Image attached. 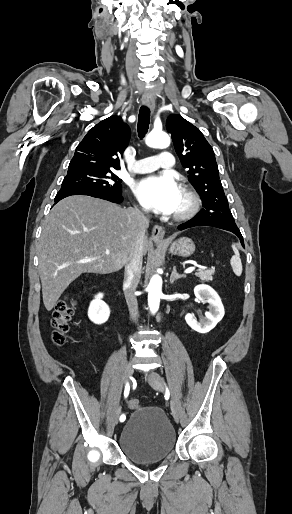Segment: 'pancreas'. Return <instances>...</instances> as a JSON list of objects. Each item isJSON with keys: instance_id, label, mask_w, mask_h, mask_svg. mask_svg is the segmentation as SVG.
Returning <instances> with one entry per match:
<instances>
[{"instance_id": "cf45deb5", "label": "pancreas", "mask_w": 292, "mask_h": 514, "mask_svg": "<svg viewBox=\"0 0 292 514\" xmlns=\"http://www.w3.org/2000/svg\"><path fill=\"white\" fill-rule=\"evenodd\" d=\"M213 274H215L214 270H197L195 276L200 278L202 282H209V280H212Z\"/></svg>"}]
</instances>
